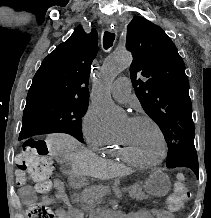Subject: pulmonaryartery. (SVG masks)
Instances as JSON below:
<instances>
[{
  "label": "pulmonary artery",
  "mask_w": 211,
  "mask_h": 218,
  "mask_svg": "<svg viewBox=\"0 0 211 218\" xmlns=\"http://www.w3.org/2000/svg\"><path fill=\"white\" fill-rule=\"evenodd\" d=\"M112 94L119 101H126L131 93L130 80L119 78L112 85Z\"/></svg>",
  "instance_id": "pulmonary-artery-1"
}]
</instances>
